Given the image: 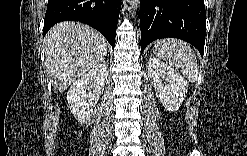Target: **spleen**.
<instances>
[{
    "instance_id": "obj_1",
    "label": "spleen",
    "mask_w": 247,
    "mask_h": 156,
    "mask_svg": "<svg viewBox=\"0 0 247 156\" xmlns=\"http://www.w3.org/2000/svg\"><path fill=\"white\" fill-rule=\"evenodd\" d=\"M154 52L159 58L179 69L189 81L195 82L197 80L198 64L196 56L185 41L174 38L161 39L157 41Z\"/></svg>"
}]
</instances>
